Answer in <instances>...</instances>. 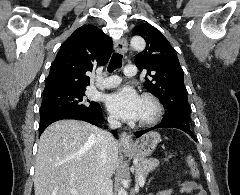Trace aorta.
I'll use <instances>...</instances> for the list:
<instances>
[{"instance_id": "aorta-1", "label": "aorta", "mask_w": 240, "mask_h": 195, "mask_svg": "<svg viewBox=\"0 0 240 195\" xmlns=\"http://www.w3.org/2000/svg\"><path fill=\"white\" fill-rule=\"evenodd\" d=\"M130 46L132 50H136V52H142L146 46L145 40H143V38H132ZM118 195H128V193L124 187H120V189H118Z\"/></svg>"}]
</instances>
